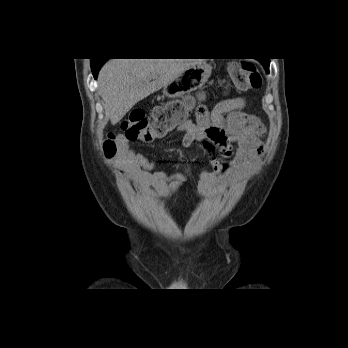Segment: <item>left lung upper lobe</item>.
<instances>
[{"label": "left lung upper lobe", "instance_id": "obj_1", "mask_svg": "<svg viewBox=\"0 0 348 348\" xmlns=\"http://www.w3.org/2000/svg\"><path fill=\"white\" fill-rule=\"evenodd\" d=\"M261 63L263 64V66L265 67L266 70L269 69V59L263 60L261 61Z\"/></svg>", "mask_w": 348, "mask_h": 348}]
</instances>
